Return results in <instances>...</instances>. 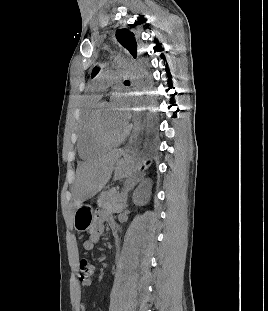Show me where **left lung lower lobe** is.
Segmentation results:
<instances>
[{
    "mask_svg": "<svg viewBox=\"0 0 268 311\" xmlns=\"http://www.w3.org/2000/svg\"><path fill=\"white\" fill-rule=\"evenodd\" d=\"M140 64H141V66H142L143 69H146V63H145V61L142 60V61L140 62ZM153 127H154V121L151 120V121L149 122V128L152 129ZM149 136H150L151 139H156L158 135H157L156 132H151Z\"/></svg>",
    "mask_w": 268,
    "mask_h": 311,
    "instance_id": "1",
    "label": "left lung lower lobe"
}]
</instances>
